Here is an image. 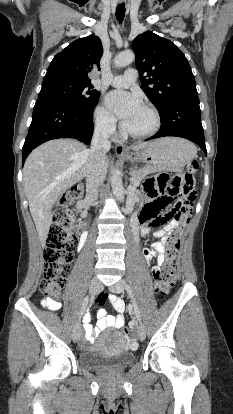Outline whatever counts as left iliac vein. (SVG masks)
<instances>
[{
    "instance_id": "left-iliac-vein-1",
    "label": "left iliac vein",
    "mask_w": 233,
    "mask_h": 414,
    "mask_svg": "<svg viewBox=\"0 0 233 414\" xmlns=\"http://www.w3.org/2000/svg\"><path fill=\"white\" fill-rule=\"evenodd\" d=\"M125 282L123 280H119L116 284L110 287V291L114 293H121L124 290ZM137 337L139 340H144L146 337V330L142 323H140L137 327Z\"/></svg>"
}]
</instances>
